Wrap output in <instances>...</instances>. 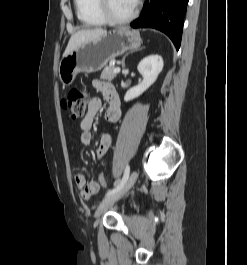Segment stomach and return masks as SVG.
Returning a JSON list of instances; mask_svg holds the SVG:
<instances>
[{
	"mask_svg": "<svg viewBox=\"0 0 247 265\" xmlns=\"http://www.w3.org/2000/svg\"><path fill=\"white\" fill-rule=\"evenodd\" d=\"M137 31L122 27L104 33L100 37L85 42L63 57L58 66V77L64 86L73 83L80 72L93 73L128 50L141 45Z\"/></svg>",
	"mask_w": 247,
	"mask_h": 265,
	"instance_id": "0dacf381",
	"label": "stomach"
}]
</instances>
